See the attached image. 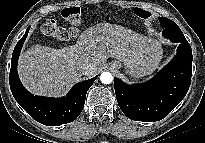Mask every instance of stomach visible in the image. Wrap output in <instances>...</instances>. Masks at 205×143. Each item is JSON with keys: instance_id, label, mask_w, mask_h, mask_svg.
Instances as JSON below:
<instances>
[{"instance_id": "stomach-1", "label": "stomach", "mask_w": 205, "mask_h": 143, "mask_svg": "<svg viewBox=\"0 0 205 143\" xmlns=\"http://www.w3.org/2000/svg\"><path fill=\"white\" fill-rule=\"evenodd\" d=\"M161 54H162V50L161 48H157L155 50V56L158 57V59L161 58ZM111 66L114 67H119L121 66V64L117 61H114L111 63ZM125 68L127 69V71L129 72V75L131 76V78L133 80H138L140 79L141 77L145 76L148 72V69L146 66H143V65H139V66H135L133 69H130L127 65H125Z\"/></svg>"}]
</instances>
